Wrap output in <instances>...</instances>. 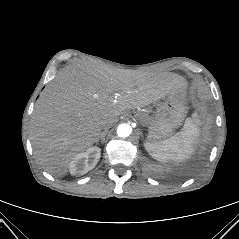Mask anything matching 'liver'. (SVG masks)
<instances>
[{"instance_id": "1", "label": "liver", "mask_w": 239, "mask_h": 239, "mask_svg": "<svg viewBox=\"0 0 239 239\" xmlns=\"http://www.w3.org/2000/svg\"><path fill=\"white\" fill-rule=\"evenodd\" d=\"M176 74L115 70L93 64L67 67L47 85L31 120L32 147L39 164L61 177L78 153L101 136L102 123L184 91Z\"/></svg>"}]
</instances>
